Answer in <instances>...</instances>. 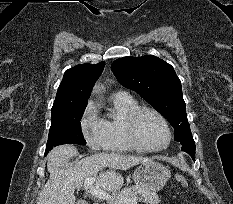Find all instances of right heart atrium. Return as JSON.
Listing matches in <instances>:
<instances>
[{
    "label": "right heart atrium",
    "mask_w": 233,
    "mask_h": 204,
    "mask_svg": "<svg viewBox=\"0 0 233 204\" xmlns=\"http://www.w3.org/2000/svg\"><path fill=\"white\" fill-rule=\"evenodd\" d=\"M80 129L86 144L91 150L105 149V137L101 118L93 103H88L80 119Z\"/></svg>",
    "instance_id": "1"
}]
</instances>
